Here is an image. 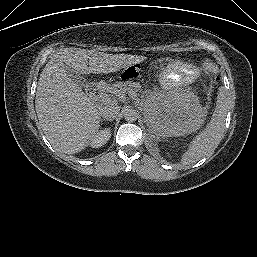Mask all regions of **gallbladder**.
I'll return each instance as SVG.
<instances>
[{
	"instance_id": "1",
	"label": "gallbladder",
	"mask_w": 257,
	"mask_h": 257,
	"mask_svg": "<svg viewBox=\"0 0 257 257\" xmlns=\"http://www.w3.org/2000/svg\"><path fill=\"white\" fill-rule=\"evenodd\" d=\"M65 70L68 77H70L72 81L78 84L80 87L85 88L88 85L87 80L73 68L66 66Z\"/></svg>"
}]
</instances>
